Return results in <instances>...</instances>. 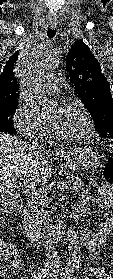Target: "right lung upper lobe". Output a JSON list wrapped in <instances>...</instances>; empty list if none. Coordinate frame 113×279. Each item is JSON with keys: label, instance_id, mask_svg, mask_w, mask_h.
Here are the masks:
<instances>
[{"label": "right lung upper lobe", "instance_id": "1", "mask_svg": "<svg viewBox=\"0 0 113 279\" xmlns=\"http://www.w3.org/2000/svg\"><path fill=\"white\" fill-rule=\"evenodd\" d=\"M19 52L14 53L7 61L0 75V109L17 105L18 87L13 68Z\"/></svg>", "mask_w": 113, "mask_h": 279}]
</instances>
